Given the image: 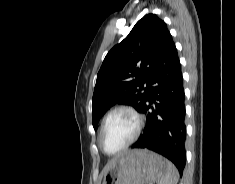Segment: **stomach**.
<instances>
[{"mask_svg": "<svg viewBox=\"0 0 235 184\" xmlns=\"http://www.w3.org/2000/svg\"><path fill=\"white\" fill-rule=\"evenodd\" d=\"M165 158L149 150H131L110 164L103 184H154L164 176Z\"/></svg>", "mask_w": 235, "mask_h": 184, "instance_id": "stomach-1", "label": "stomach"}]
</instances>
